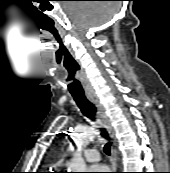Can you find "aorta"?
<instances>
[{
	"mask_svg": "<svg viewBox=\"0 0 170 173\" xmlns=\"http://www.w3.org/2000/svg\"><path fill=\"white\" fill-rule=\"evenodd\" d=\"M94 137V131L90 128H84L75 134L74 141L79 146H86ZM70 172H86V164L80 152L75 153L69 166Z\"/></svg>",
	"mask_w": 170,
	"mask_h": 173,
	"instance_id": "aorta-1",
	"label": "aorta"
}]
</instances>
